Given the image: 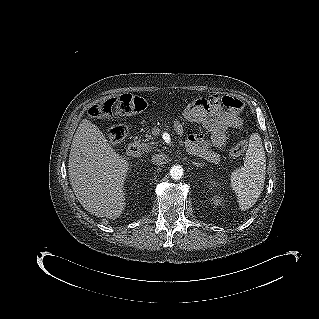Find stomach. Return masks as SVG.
Returning <instances> with one entry per match:
<instances>
[{"label": "stomach", "instance_id": "stomach-1", "mask_svg": "<svg viewBox=\"0 0 319 319\" xmlns=\"http://www.w3.org/2000/svg\"><path fill=\"white\" fill-rule=\"evenodd\" d=\"M204 108L199 102L190 103L184 110V117L189 122H198L202 118Z\"/></svg>", "mask_w": 319, "mask_h": 319}]
</instances>
